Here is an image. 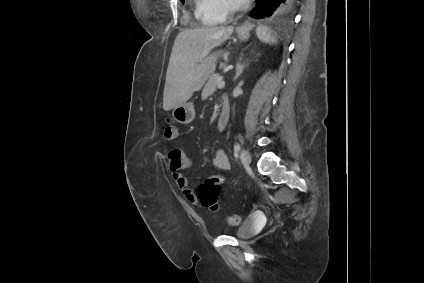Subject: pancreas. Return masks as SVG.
<instances>
[{"label": "pancreas", "instance_id": "cf45deb5", "mask_svg": "<svg viewBox=\"0 0 424 283\" xmlns=\"http://www.w3.org/2000/svg\"><path fill=\"white\" fill-rule=\"evenodd\" d=\"M220 79V76L218 74L212 75L208 82L206 83L205 87L202 90V98L206 99L209 95H212L217 88L218 80Z\"/></svg>", "mask_w": 424, "mask_h": 283}]
</instances>
